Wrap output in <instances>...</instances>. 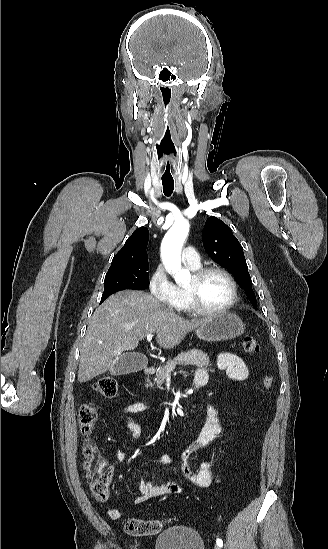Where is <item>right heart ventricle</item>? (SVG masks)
<instances>
[{"label": "right heart ventricle", "instance_id": "obj_1", "mask_svg": "<svg viewBox=\"0 0 328 549\" xmlns=\"http://www.w3.org/2000/svg\"><path fill=\"white\" fill-rule=\"evenodd\" d=\"M184 263L189 269H197L198 266L201 265V260L196 263L185 261ZM166 303H175L176 310H179V319H188L186 318V315H188L191 311L187 307L189 300L185 292V286H180L178 284L173 285L172 293Z\"/></svg>", "mask_w": 328, "mask_h": 549}]
</instances>
